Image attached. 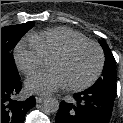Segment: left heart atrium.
Here are the masks:
<instances>
[{
  "mask_svg": "<svg viewBox=\"0 0 123 123\" xmlns=\"http://www.w3.org/2000/svg\"><path fill=\"white\" fill-rule=\"evenodd\" d=\"M67 86V83L57 69L39 71L26 80V88L37 94H49Z\"/></svg>",
  "mask_w": 123,
  "mask_h": 123,
  "instance_id": "1",
  "label": "left heart atrium"
}]
</instances>
